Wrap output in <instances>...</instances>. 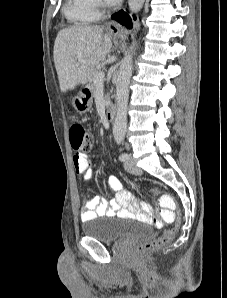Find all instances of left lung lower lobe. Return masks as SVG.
Instances as JSON below:
<instances>
[{"label":"left lung lower lobe","instance_id":"1","mask_svg":"<svg viewBox=\"0 0 227 298\" xmlns=\"http://www.w3.org/2000/svg\"><path fill=\"white\" fill-rule=\"evenodd\" d=\"M112 19H115L116 21H118L120 24L126 26L127 28H132L131 18L123 10H121L118 13L114 14L112 16ZM134 19H136V18L134 17Z\"/></svg>","mask_w":227,"mask_h":298}]
</instances>
